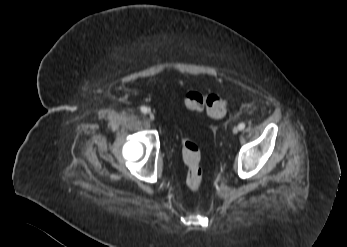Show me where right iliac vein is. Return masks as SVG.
Instances as JSON below:
<instances>
[{
	"label": "right iliac vein",
	"instance_id": "1",
	"mask_svg": "<svg viewBox=\"0 0 347 247\" xmlns=\"http://www.w3.org/2000/svg\"><path fill=\"white\" fill-rule=\"evenodd\" d=\"M148 117L151 121L155 119V116L151 112H149Z\"/></svg>",
	"mask_w": 347,
	"mask_h": 247
}]
</instances>
